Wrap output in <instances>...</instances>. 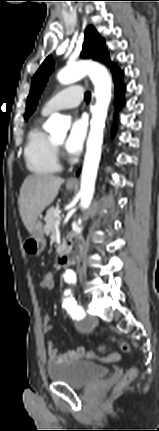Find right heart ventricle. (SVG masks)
Masks as SVG:
<instances>
[{"mask_svg": "<svg viewBox=\"0 0 159 431\" xmlns=\"http://www.w3.org/2000/svg\"><path fill=\"white\" fill-rule=\"evenodd\" d=\"M24 160L29 171L50 175L60 170L57 149L50 137L36 123L28 132L24 147Z\"/></svg>", "mask_w": 159, "mask_h": 431, "instance_id": "right-heart-ventricle-1", "label": "right heart ventricle"}]
</instances>
